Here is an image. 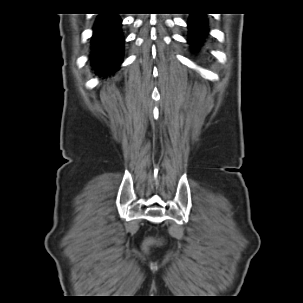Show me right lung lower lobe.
Segmentation results:
<instances>
[{"label":"right lung lower lobe","instance_id":"1","mask_svg":"<svg viewBox=\"0 0 303 303\" xmlns=\"http://www.w3.org/2000/svg\"><path fill=\"white\" fill-rule=\"evenodd\" d=\"M122 55L121 19L116 14H101L92 37L91 59L96 74L105 77L116 71Z\"/></svg>","mask_w":303,"mask_h":303}]
</instances>
